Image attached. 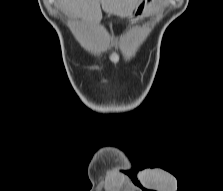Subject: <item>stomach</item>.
Instances as JSON below:
<instances>
[{"label": "stomach", "mask_w": 223, "mask_h": 191, "mask_svg": "<svg viewBox=\"0 0 223 191\" xmlns=\"http://www.w3.org/2000/svg\"><path fill=\"white\" fill-rule=\"evenodd\" d=\"M157 1L158 0H139L133 7L129 18L133 22H136L139 19L147 16Z\"/></svg>", "instance_id": "obj_1"}]
</instances>
